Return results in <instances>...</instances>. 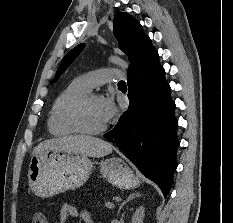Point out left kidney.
Listing matches in <instances>:
<instances>
[{
    "label": "left kidney",
    "instance_id": "left-kidney-1",
    "mask_svg": "<svg viewBox=\"0 0 233 223\" xmlns=\"http://www.w3.org/2000/svg\"><path fill=\"white\" fill-rule=\"evenodd\" d=\"M144 211H145V207H143V205H140V207L136 209L134 215H132V223H144L143 221L145 215Z\"/></svg>",
    "mask_w": 233,
    "mask_h": 223
}]
</instances>
